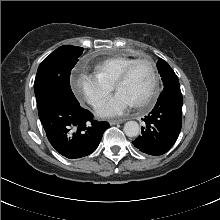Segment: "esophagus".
Wrapping results in <instances>:
<instances>
[{
  "label": "esophagus",
  "mask_w": 220,
  "mask_h": 220,
  "mask_svg": "<svg viewBox=\"0 0 220 220\" xmlns=\"http://www.w3.org/2000/svg\"><path fill=\"white\" fill-rule=\"evenodd\" d=\"M125 121V119H114V120H110L109 123L111 125L117 124V123H123Z\"/></svg>",
  "instance_id": "34e87169"
}]
</instances>
